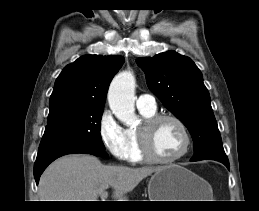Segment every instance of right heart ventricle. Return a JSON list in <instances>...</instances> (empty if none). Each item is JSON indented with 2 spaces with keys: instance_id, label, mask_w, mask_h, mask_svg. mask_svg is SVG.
I'll list each match as a JSON object with an SVG mask.
<instances>
[{
  "instance_id": "obj_1",
  "label": "right heart ventricle",
  "mask_w": 259,
  "mask_h": 211,
  "mask_svg": "<svg viewBox=\"0 0 259 211\" xmlns=\"http://www.w3.org/2000/svg\"><path fill=\"white\" fill-rule=\"evenodd\" d=\"M141 115L144 118L151 117L155 115V111H148V110H140ZM126 131V138H127V156L126 159L131 163H143L145 160L143 159L140 147H139V141H138V135H137V129L134 128H128Z\"/></svg>"
}]
</instances>
